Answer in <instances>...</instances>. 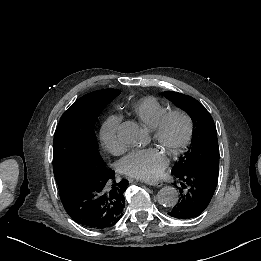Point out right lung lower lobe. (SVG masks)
Here are the masks:
<instances>
[{
  "instance_id": "right-lung-lower-lobe-1",
  "label": "right lung lower lobe",
  "mask_w": 261,
  "mask_h": 261,
  "mask_svg": "<svg viewBox=\"0 0 261 261\" xmlns=\"http://www.w3.org/2000/svg\"><path fill=\"white\" fill-rule=\"evenodd\" d=\"M115 173L104 167L92 173L78 169L59 185L60 198L67 214L87 228L104 229L123 216L124 192L129 183L114 180Z\"/></svg>"
}]
</instances>
